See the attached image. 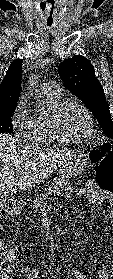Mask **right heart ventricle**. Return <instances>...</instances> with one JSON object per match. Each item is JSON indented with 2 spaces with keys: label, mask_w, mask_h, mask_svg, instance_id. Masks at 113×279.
Wrapping results in <instances>:
<instances>
[{
  "label": "right heart ventricle",
  "mask_w": 113,
  "mask_h": 279,
  "mask_svg": "<svg viewBox=\"0 0 113 279\" xmlns=\"http://www.w3.org/2000/svg\"><path fill=\"white\" fill-rule=\"evenodd\" d=\"M44 99L48 108V113H38L31 117V123L26 137L30 144L50 146L55 145L57 140L54 138L49 125V114L59 102L60 96L44 92Z\"/></svg>",
  "instance_id": "obj_1"
}]
</instances>
